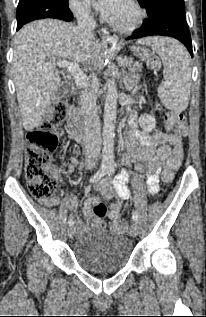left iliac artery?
<instances>
[{
    "label": "left iliac artery",
    "mask_w": 206,
    "mask_h": 317,
    "mask_svg": "<svg viewBox=\"0 0 206 317\" xmlns=\"http://www.w3.org/2000/svg\"><path fill=\"white\" fill-rule=\"evenodd\" d=\"M113 173H114V168H113V167H109V168L107 169V174L110 176V175H113ZM132 218H133V220H134L135 222L138 221V214H137L136 211H133V213H132Z\"/></svg>",
    "instance_id": "44dca946"
}]
</instances>
